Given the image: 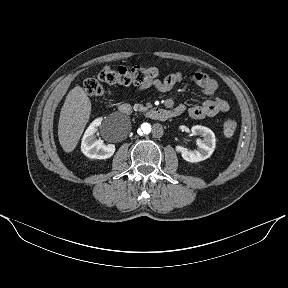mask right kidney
Returning <instances> with one entry per match:
<instances>
[{
  "label": "right kidney",
  "instance_id": "right-kidney-1",
  "mask_svg": "<svg viewBox=\"0 0 288 288\" xmlns=\"http://www.w3.org/2000/svg\"><path fill=\"white\" fill-rule=\"evenodd\" d=\"M102 124V119L94 120L84 133L81 143L82 153L91 159H107L110 158L116 148L114 144H104L103 140L97 139L95 132Z\"/></svg>",
  "mask_w": 288,
  "mask_h": 288
}]
</instances>
